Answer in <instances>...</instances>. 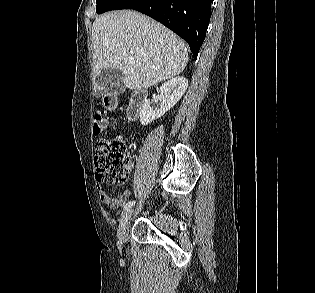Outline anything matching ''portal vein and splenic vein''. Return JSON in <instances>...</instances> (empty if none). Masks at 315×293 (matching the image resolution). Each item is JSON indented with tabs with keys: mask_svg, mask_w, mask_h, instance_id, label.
<instances>
[{
	"mask_svg": "<svg viewBox=\"0 0 315 293\" xmlns=\"http://www.w3.org/2000/svg\"><path fill=\"white\" fill-rule=\"evenodd\" d=\"M129 61H130V63H131L132 65H133L134 62H135V61H134V58H130Z\"/></svg>",
	"mask_w": 315,
	"mask_h": 293,
	"instance_id": "obj_1",
	"label": "portal vein and splenic vein"
}]
</instances>
